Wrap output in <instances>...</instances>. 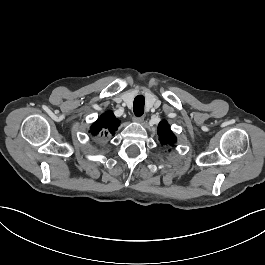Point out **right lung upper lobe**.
<instances>
[{
  "mask_svg": "<svg viewBox=\"0 0 265 265\" xmlns=\"http://www.w3.org/2000/svg\"><path fill=\"white\" fill-rule=\"evenodd\" d=\"M120 125V121L115 117L112 111H107L101 115L91 126L90 133L95 136L102 132L105 136H114Z\"/></svg>",
  "mask_w": 265,
  "mask_h": 265,
  "instance_id": "cb5924a9",
  "label": "right lung upper lobe"
}]
</instances>
